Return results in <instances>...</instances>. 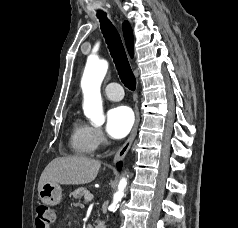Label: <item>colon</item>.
Wrapping results in <instances>:
<instances>
[{
  "instance_id": "obj_1",
  "label": "colon",
  "mask_w": 238,
  "mask_h": 228,
  "mask_svg": "<svg viewBox=\"0 0 238 228\" xmlns=\"http://www.w3.org/2000/svg\"><path fill=\"white\" fill-rule=\"evenodd\" d=\"M56 219V212L47 205H40L36 208L35 223L37 228H51Z\"/></svg>"
}]
</instances>
